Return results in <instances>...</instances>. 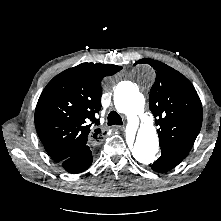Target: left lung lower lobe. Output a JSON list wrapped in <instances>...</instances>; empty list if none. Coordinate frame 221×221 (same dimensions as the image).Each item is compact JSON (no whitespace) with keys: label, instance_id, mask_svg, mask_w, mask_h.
I'll return each instance as SVG.
<instances>
[{"label":"left lung lower lobe","instance_id":"0a47b994","mask_svg":"<svg viewBox=\"0 0 221 221\" xmlns=\"http://www.w3.org/2000/svg\"><path fill=\"white\" fill-rule=\"evenodd\" d=\"M161 156L150 167L156 172H166L176 167L187 155L182 151L170 148H161Z\"/></svg>","mask_w":221,"mask_h":221}]
</instances>
